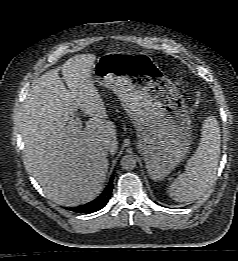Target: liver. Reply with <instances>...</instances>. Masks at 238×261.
I'll use <instances>...</instances> for the list:
<instances>
[{
  "mask_svg": "<svg viewBox=\"0 0 238 261\" xmlns=\"http://www.w3.org/2000/svg\"><path fill=\"white\" fill-rule=\"evenodd\" d=\"M95 61L93 54L76 55L46 72L33 82L22 106L26 168L49 199L67 207L101 193L109 166L104 145L112 155L118 147L115 125L107 120L92 80ZM78 108L91 118L84 128L73 129L70 121Z\"/></svg>",
  "mask_w": 238,
  "mask_h": 261,
  "instance_id": "1",
  "label": "liver"
}]
</instances>
